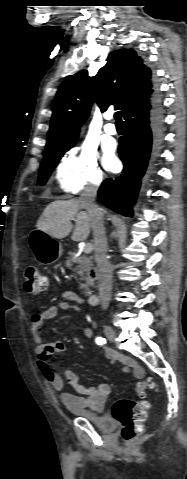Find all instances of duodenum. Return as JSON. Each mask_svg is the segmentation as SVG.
Segmentation results:
<instances>
[{
  "mask_svg": "<svg viewBox=\"0 0 187 479\" xmlns=\"http://www.w3.org/2000/svg\"><path fill=\"white\" fill-rule=\"evenodd\" d=\"M87 299L90 305H95L98 302V294L90 291L87 293Z\"/></svg>",
  "mask_w": 187,
  "mask_h": 479,
  "instance_id": "obj_1",
  "label": "duodenum"
}]
</instances>
